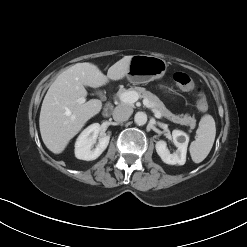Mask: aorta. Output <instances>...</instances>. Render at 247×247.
<instances>
[{"mask_svg": "<svg viewBox=\"0 0 247 247\" xmlns=\"http://www.w3.org/2000/svg\"><path fill=\"white\" fill-rule=\"evenodd\" d=\"M134 122L138 125H144L147 122V115L144 112H137L134 116Z\"/></svg>", "mask_w": 247, "mask_h": 247, "instance_id": "obj_1", "label": "aorta"}]
</instances>
